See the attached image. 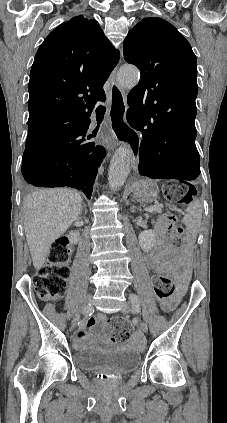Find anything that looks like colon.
Masks as SVG:
<instances>
[{
	"mask_svg": "<svg viewBox=\"0 0 227 423\" xmlns=\"http://www.w3.org/2000/svg\"><path fill=\"white\" fill-rule=\"evenodd\" d=\"M195 194L191 185L168 186L165 195L168 199L177 203H185ZM162 226L166 230H175L177 236L182 233V228L176 226V217L166 214L161 219ZM180 239L177 237L171 247L178 249ZM71 249L65 242H56L52 245L46 263L40 268L34 277V287L38 296L44 300L61 298L66 290L67 280L70 274L69 262ZM157 297L168 300L174 293V285L169 277L155 276L153 279ZM115 328L114 334L119 337H127L132 332V326L123 318L116 317L111 321Z\"/></svg>",
	"mask_w": 227,
	"mask_h": 423,
	"instance_id": "colon-1",
	"label": "colon"
}]
</instances>
